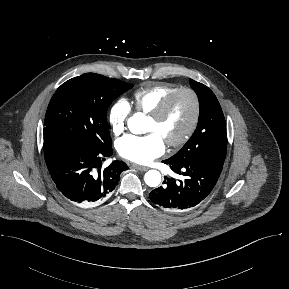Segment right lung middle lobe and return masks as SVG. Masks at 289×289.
I'll return each mask as SVG.
<instances>
[{
    "mask_svg": "<svg viewBox=\"0 0 289 289\" xmlns=\"http://www.w3.org/2000/svg\"><path fill=\"white\" fill-rule=\"evenodd\" d=\"M132 84L94 73L63 83L53 95L44 123V152L79 144L91 149L111 145L107 108Z\"/></svg>",
    "mask_w": 289,
    "mask_h": 289,
    "instance_id": "obj_1",
    "label": "right lung middle lobe"
}]
</instances>
